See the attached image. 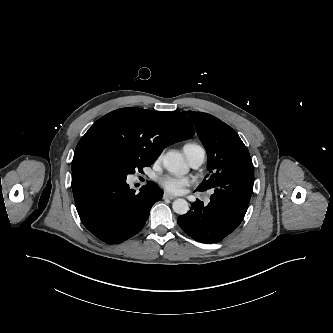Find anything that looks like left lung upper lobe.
Returning a JSON list of instances; mask_svg holds the SVG:
<instances>
[{
    "mask_svg": "<svg viewBox=\"0 0 333 333\" xmlns=\"http://www.w3.org/2000/svg\"><path fill=\"white\" fill-rule=\"evenodd\" d=\"M194 123L198 137L208 153V174L198 191L215 188L221 173L230 168L235 173V164L251 159L238 134L218 118L203 112L184 111Z\"/></svg>",
    "mask_w": 333,
    "mask_h": 333,
    "instance_id": "left-lung-upper-lobe-1",
    "label": "left lung upper lobe"
}]
</instances>
